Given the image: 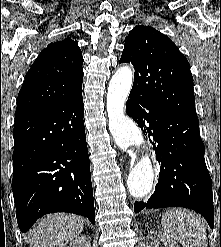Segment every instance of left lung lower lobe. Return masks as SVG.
I'll return each mask as SVG.
<instances>
[{"label": "left lung lower lobe", "instance_id": "left-lung-lower-lobe-1", "mask_svg": "<svg viewBox=\"0 0 221 247\" xmlns=\"http://www.w3.org/2000/svg\"><path fill=\"white\" fill-rule=\"evenodd\" d=\"M126 113L153 138L160 166L154 194L147 202H135V213L145 207H185L203 215L213 228L212 180L205 164L199 120L178 115L131 93Z\"/></svg>", "mask_w": 221, "mask_h": 247}]
</instances>
